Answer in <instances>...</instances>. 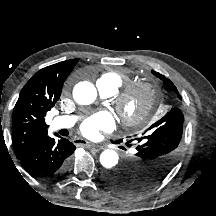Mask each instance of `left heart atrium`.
<instances>
[{
	"instance_id": "1",
	"label": "left heart atrium",
	"mask_w": 216,
	"mask_h": 216,
	"mask_svg": "<svg viewBox=\"0 0 216 216\" xmlns=\"http://www.w3.org/2000/svg\"><path fill=\"white\" fill-rule=\"evenodd\" d=\"M114 126V117L107 111H100L82 123L81 131L88 137H96L100 131H110Z\"/></svg>"
}]
</instances>
